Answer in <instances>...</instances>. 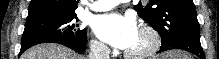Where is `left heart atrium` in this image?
Instances as JSON below:
<instances>
[{"mask_svg":"<svg viewBox=\"0 0 219 59\" xmlns=\"http://www.w3.org/2000/svg\"><path fill=\"white\" fill-rule=\"evenodd\" d=\"M92 27L99 39L120 49L129 48L139 33L132 17L117 12L97 16Z\"/></svg>","mask_w":219,"mask_h":59,"instance_id":"1","label":"left heart atrium"}]
</instances>
